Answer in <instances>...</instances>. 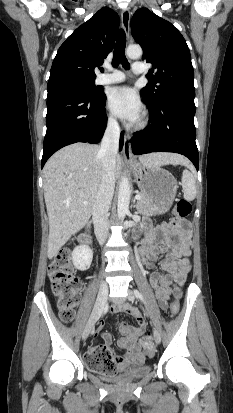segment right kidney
Segmentation results:
<instances>
[{
    "label": "right kidney",
    "mask_w": 233,
    "mask_h": 413,
    "mask_svg": "<svg viewBox=\"0 0 233 413\" xmlns=\"http://www.w3.org/2000/svg\"><path fill=\"white\" fill-rule=\"evenodd\" d=\"M92 259L93 252L87 245L77 246L72 252L73 264L80 271L87 270L91 265Z\"/></svg>",
    "instance_id": "ca27d5eb"
}]
</instances>
